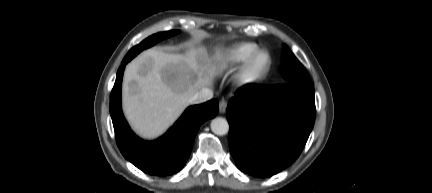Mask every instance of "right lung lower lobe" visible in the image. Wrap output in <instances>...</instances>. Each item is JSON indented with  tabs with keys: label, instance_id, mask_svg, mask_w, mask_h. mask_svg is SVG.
I'll return each mask as SVG.
<instances>
[{
	"label": "right lung lower lobe",
	"instance_id": "obj_1",
	"mask_svg": "<svg viewBox=\"0 0 432 193\" xmlns=\"http://www.w3.org/2000/svg\"><path fill=\"white\" fill-rule=\"evenodd\" d=\"M128 62L123 60L110 97L117 145L123 156L143 172L157 176L174 174L186 163L200 125L218 113V101L187 108L165 135L151 142L143 141L131 131L121 109V83Z\"/></svg>",
	"mask_w": 432,
	"mask_h": 193
}]
</instances>
